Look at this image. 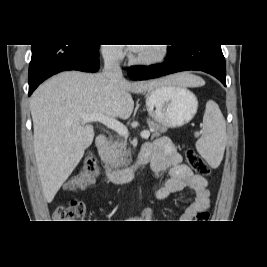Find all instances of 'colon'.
Segmentation results:
<instances>
[{"label": "colon", "mask_w": 267, "mask_h": 267, "mask_svg": "<svg viewBox=\"0 0 267 267\" xmlns=\"http://www.w3.org/2000/svg\"><path fill=\"white\" fill-rule=\"evenodd\" d=\"M185 157L188 165L197 174L201 176H209L210 169L206 162L193 150L187 149ZM97 171V164L92 154H87L82 162V169L80 173L73 179L85 183L92 179ZM72 180V181H73ZM86 213V206L82 201L72 200L68 205L59 206L55 209L53 217L55 222L59 223H73L81 220ZM197 219L199 222H207L209 219L208 211H201Z\"/></svg>", "instance_id": "obj_1"}]
</instances>
